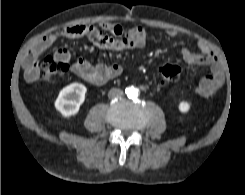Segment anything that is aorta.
<instances>
[{
    "label": "aorta",
    "mask_w": 245,
    "mask_h": 195,
    "mask_svg": "<svg viewBox=\"0 0 245 195\" xmlns=\"http://www.w3.org/2000/svg\"><path fill=\"white\" fill-rule=\"evenodd\" d=\"M126 94L129 98L137 97L138 89L135 87H130L126 90Z\"/></svg>",
    "instance_id": "762f6f07"
}]
</instances>
